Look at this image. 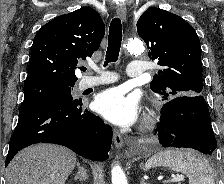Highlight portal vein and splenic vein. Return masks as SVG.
Returning <instances> with one entry per match:
<instances>
[{
	"mask_svg": "<svg viewBox=\"0 0 224 184\" xmlns=\"http://www.w3.org/2000/svg\"><path fill=\"white\" fill-rule=\"evenodd\" d=\"M184 180V176L183 175H177L175 176L174 178L170 179V180H167L165 182H181Z\"/></svg>",
	"mask_w": 224,
	"mask_h": 184,
	"instance_id": "18ae733b",
	"label": "portal vein and splenic vein"
}]
</instances>
